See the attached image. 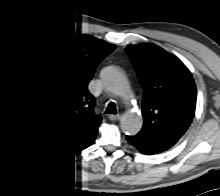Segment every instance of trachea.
<instances>
[{
  "instance_id": "obj_1",
  "label": "trachea",
  "mask_w": 220,
  "mask_h": 196,
  "mask_svg": "<svg viewBox=\"0 0 220 196\" xmlns=\"http://www.w3.org/2000/svg\"><path fill=\"white\" fill-rule=\"evenodd\" d=\"M108 113H116V109L113 103H110L107 108Z\"/></svg>"
}]
</instances>
